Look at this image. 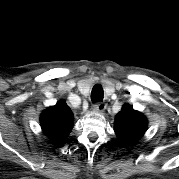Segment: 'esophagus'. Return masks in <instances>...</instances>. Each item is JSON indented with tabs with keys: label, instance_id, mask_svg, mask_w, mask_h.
I'll return each mask as SVG.
<instances>
[{
	"label": "esophagus",
	"instance_id": "esophagus-1",
	"mask_svg": "<svg viewBox=\"0 0 179 179\" xmlns=\"http://www.w3.org/2000/svg\"><path fill=\"white\" fill-rule=\"evenodd\" d=\"M106 109V104L104 102H98L93 106V111L103 112Z\"/></svg>",
	"mask_w": 179,
	"mask_h": 179
}]
</instances>
